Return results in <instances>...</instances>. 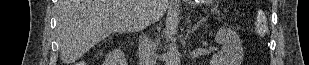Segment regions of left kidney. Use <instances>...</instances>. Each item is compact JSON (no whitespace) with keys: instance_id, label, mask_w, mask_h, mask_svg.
Returning <instances> with one entry per match:
<instances>
[{"instance_id":"left-kidney-1","label":"left kidney","mask_w":309,"mask_h":65,"mask_svg":"<svg viewBox=\"0 0 309 65\" xmlns=\"http://www.w3.org/2000/svg\"><path fill=\"white\" fill-rule=\"evenodd\" d=\"M215 41L222 45L221 50L213 55L211 65H242L244 51L239 35L230 28L221 27Z\"/></svg>"}]
</instances>
